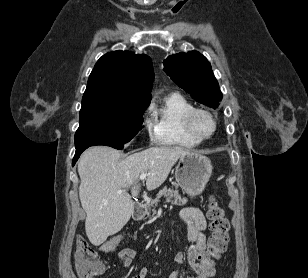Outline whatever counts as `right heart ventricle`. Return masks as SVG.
Wrapping results in <instances>:
<instances>
[{
  "instance_id": "1",
  "label": "right heart ventricle",
  "mask_w": 308,
  "mask_h": 278,
  "mask_svg": "<svg viewBox=\"0 0 308 278\" xmlns=\"http://www.w3.org/2000/svg\"><path fill=\"white\" fill-rule=\"evenodd\" d=\"M193 105L182 95L172 93L154 110L152 122L154 139L164 146L191 148L199 144L184 129L183 116Z\"/></svg>"
}]
</instances>
